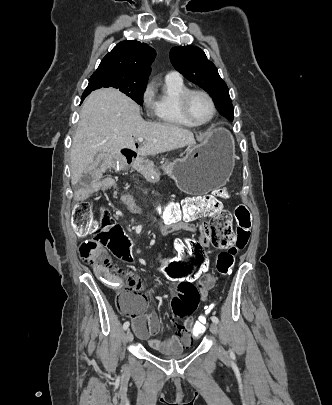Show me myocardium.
Here are the masks:
<instances>
[{
  "label": "myocardium",
  "instance_id": "obj_1",
  "mask_svg": "<svg viewBox=\"0 0 332 405\" xmlns=\"http://www.w3.org/2000/svg\"><path fill=\"white\" fill-rule=\"evenodd\" d=\"M194 94H201L205 96L211 103L212 106V114L211 116L205 121H196L193 119L189 112V100L192 95ZM179 108L182 116L194 126H204L212 122L217 114V105L214 98L205 90L202 89H187L179 99Z\"/></svg>",
  "mask_w": 332,
  "mask_h": 405
}]
</instances>
